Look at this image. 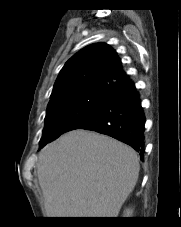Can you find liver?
<instances>
[{
  "label": "liver",
  "instance_id": "obj_1",
  "mask_svg": "<svg viewBox=\"0 0 181 227\" xmlns=\"http://www.w3.org/2000/svg\"><path fill=\"white\" fill-rule=\"evenodd\" d=\"M37 169L48 217H117L140 166L126 144L79 129L46 145Z\"/></svg>",
  "mask_w": 181,
  "mask_h": 227
}]
</instances>
